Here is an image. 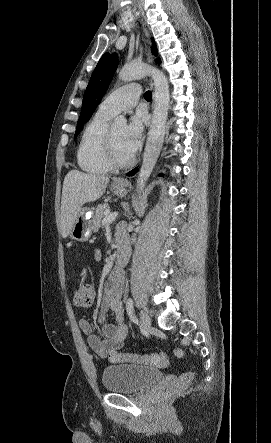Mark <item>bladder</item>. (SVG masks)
<instances>
[{
    "label": "bladder",
    "mask_w": 271,
    "mask_h": 443,
    "mask_svg": "<svg viewBox=\"0 0 271 443\" xmlns=\"http://www.w3.org/2000/svg\"><path fill=\"white\" fill-rule=\"evenodd\" d=\"M162 375L161 370L147 365L113 364L104 368L102 384L112 393H135L152 386Z\"/></svg>",
    "instance_id": "1"
}]
</instances>
